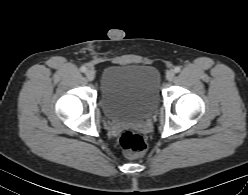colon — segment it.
<instances>
[{
	"label": "colon",
	"mask_w": 248,
	"mask_h": 195,
	"mask_svg": "<svg viewBox=\"0 0 248 195\" xmlns=\"http://www.w3.org/2000/svg\"><path fill=\"white\" fill-rule=\"evenodd\" d=\"M119 144L126 155L130 157L141 155L147 147L144 137L133 130L124 131L119 137Z\"/></svg>",
	"instance_id": "obj_1"
}]
</instances>
